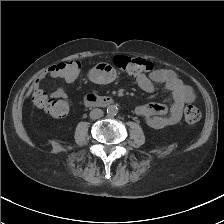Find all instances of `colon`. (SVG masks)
Listing matches in <instances>:
<instances>
[{"label":"colon","mask_w":224,"mask_h":224,"mask_svg":"<svg viewBox=\"0 0 224 224\" xmlns=\"http://www.w3.org/2000/svg\"><path fill=\"white\" fill-rule=\"evenodd\" d=\"M114 65L129 76H139L145 73L154 72L156 67L153 63L137 57H129L125 55H117L113 59ZM82 63L79 60H65L55 66V70L62 79L73 81L80 73ZM33 102L38 107L54 118H63L70 111V103L65 99H58L49 96L45 91L38 90L33 95ZM201 119L200 110L188 105L184 109V120L189 125L198 123Z\"/></svg>","instance_id":"colon-1"}]
</instances>
